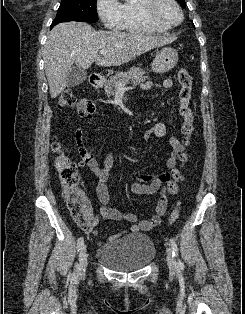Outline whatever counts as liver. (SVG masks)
Instances as JSON below:
<instances>
[{
    "instance_id": "liver-1",
    "label": "liver",
    "mask_w": 245,
    "mask_h": 314,
    "mask_svg": "<svg viewBox=\"0 0 245 314\" xmlns=\"http://www.w3.org/2000/svg\"><path fill=\"white\" fill-rule=\"evenodd\" d=\"M174 40L139 32L96 31L82 22L58 24L49 32L43 54L50 96L54 99L66 88V77L74 65L82 69L94 62L104 67L119 66ZM102 50L107 54L100 57Z\"/></svg>"
}]
</instances>
